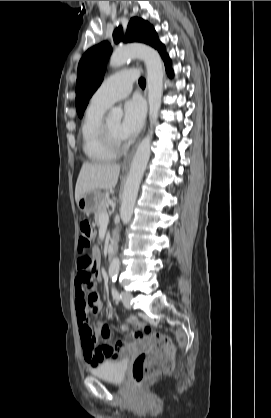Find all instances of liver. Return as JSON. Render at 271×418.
<instances>
[{"mask_svg": "<svg viewBox=\"0 0 271 418\" xmlns=\"http://www.w3.org/2000/svg\"><path fill=\"white\" fill-rule=\"evenodd\" d=\"M119 173V164L84 162L76 182V202L88 192L113 189L117 184Z\"/></svg>", "mask_w": 271, "mask_h": 418, "instance_id": "obj_1", "label": "liver"}]
</instances>
